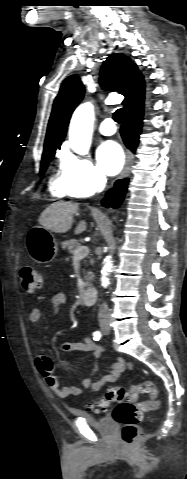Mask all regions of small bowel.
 <instances>
[{"label":"small bowel","instance_id":"obj_1","mask_svg":"<svg viewBox=\"0 0 187 479\" xmlns=\"http://www.w3.org/2000/svg\"><path fill=\"white\" fill-rule=\"evenodd\" d=\"M68 299L65 293L60 290L55 291L51 296L52 314L58 315L62 308L67 305ZM41 319V311L33 308L29 314V322L37 325ZM41 340H39V343ZM64 352L85 351L92 354L96 360L95 367L90 375L85 378L81 384L74 386H62L58 377L53 371V362L48 355H40L37 358V366L43 375L48 387L60 398L75 397L83 394L85 391L97 392L105 385L116 382L121 374L128 368H132V363H126L123 359H118L111 365V370L103 376L96 378L99 369V362L104 348L94 343L89 337H85L81 342H64L60 346Z\"/></svg>","mask_w":187,"mask_h":479}]
</instances>
